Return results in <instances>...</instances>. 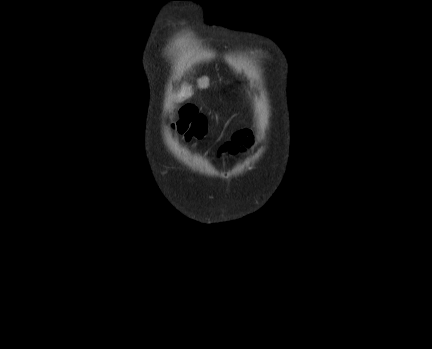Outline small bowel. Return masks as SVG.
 <instances>
[{
    "label": "small bowel",
    "instance_id": "small-bowel-1",
    "mask_svg": "<svg viewBox=\"0 0 432 349\" xmlns=\"http://www.w3.org/2000/svg\"><path fill=\"white\" fill-rule=\"evenodd\" d=\"M252 143V136L248 131L244 130L237 133L234 140L226 146V149L233 153H238L239 151H243L250 147Z\"/></svg>",
    "mask_w": 432,
    "mask_h": 349
}]
</instances>
